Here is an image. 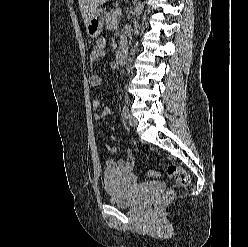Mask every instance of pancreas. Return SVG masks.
Segmentation results:
<instances>
[{"instance_id":"pancreas-1","label":"pancreas","mask_w":248,"mask_h":247,"mask_svg":"<svg viewBox=\"0 0 248 247\" xmlns=\"http://www.w3.org/2000/svg\"><path fill=\"white\" fill-rule=\"evenodd\" d=\"M117 16V9H113L105 14L104 19L106 22L107 29H114L117 26Z\"/></svg>"}]
</instances>
